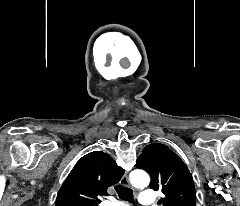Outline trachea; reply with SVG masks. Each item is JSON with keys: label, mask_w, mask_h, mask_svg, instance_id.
Segmentation results:
<instances>
[{"label": "trachea", "mask_w": 240, "mask_h": 206, "mask_svg": "<svg viewBox=\"0 0 240 206\" xmlns=\"http://www.w3.org/2000/svg\"><path fill=\"white\" fill-rule=\"evenodd\" d=\"M119 198L125 199L128 201H132L133 199V193L132 190L128 187L122 186V185H117L114 187Z\"/></svg>", "instance_id": "3493384b"}]
</instances>
